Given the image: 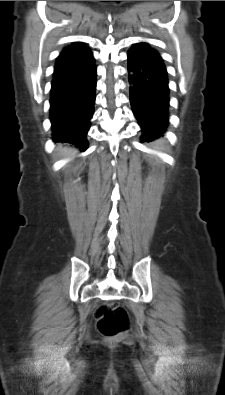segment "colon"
Wrapping results in <instances>:
<instances>
[{"instance_id": "obj_1", "label": "colon", "mask_w": 225, "mask_h": 395, "mask_svg": "<svg viewBox=\"0 0 225 395\" xmlns=\"http://www.w3.org/2000/svg\"><path fill=\"white\" fill-rule=\"evenodd\" d=\"M99 332L108 341L119 339L131 329V321L125 307L117 303H107L95 310Z\"/></svg>"}]
</instances>
